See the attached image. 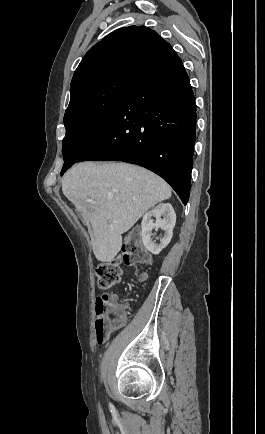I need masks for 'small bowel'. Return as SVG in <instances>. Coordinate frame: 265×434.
Listing matches in <instances>:
<instances>
[{"instance_id": "c3829d8e", "label": "small bowel", "mask_w": 265, "mask_h": 434, "mask_svg": "<svg viewBox=\"0 0 265 434\" xmlns=\"http://www.w3.org/2000/svg\"><path fill=\"white\" fill-rule=\"evenodd\" d=\"M125 320H126V318L124 317V318L122 319V321H121L119 324H114V327H117V326H119V325H122V324L125 322Z\"/></svg>"}]
</instances>
